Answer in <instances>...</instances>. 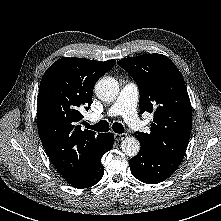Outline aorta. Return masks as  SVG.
Segmentation results:
<instances>
[{"instance_id":"obj_1","label":"aorta","mask_w":221,"mask_h":221,"mask_svg":"<svg viewBox=\"0 0 221 221\" xmlns=\"http://www.w3.org/2000/svg\"><path fill=\"white\" fill-rule=\"evenodd\" d=\"M96 96L105 102L116 100L119 94V85L113 77H103L95 85ZM122 152L130 157H134L140 150V143L135 137H127L121 143Z\"/></svg>"}]
</instances>
